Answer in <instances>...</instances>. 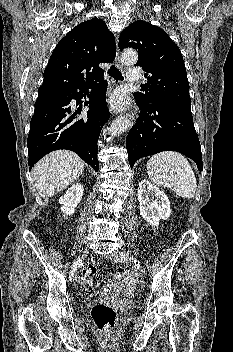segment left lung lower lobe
I'll return each mask as SVG.
<instances>
[{
  "instance_id": "obj_1",
  "label": "left lung lower lobe",
  "mask_w": 233,
  "mask_h": 352,
  "mask_svg": "<svg viewBox=\"0 0 233 352\" xmlns=\"http://www.w3.org/2000/svg\"><path fill=\"white\" fill-rule=\"evenodd\" d=\"M137 104L143 114L126 138L130 167L142 157L176 151L192 159L198 169L203 170L201 146L192 115L163 104Z\"/></svg>"
}]
</instances>
